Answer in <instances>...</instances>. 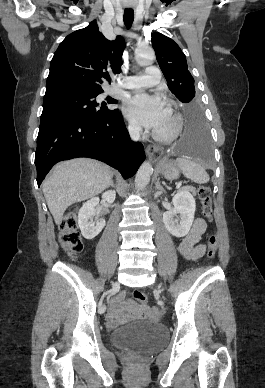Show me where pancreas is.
Segmentation results:
<instances>
[{
    "instance_id": "pancreas-1",
    "label": "pancreas",
    "mask_w": 265,
    "mask_h": 388,
    "mask_svg": "<svg viewBox=\"0 0 265 388\" xmlns=\"http://www.w3.org/2000/svg\"><path fill=\"white\" fill-rule=\"evenodd\" d=\"M181 190H188V192H193V194H195V188H191V186H189V188H181Z\"/></svg>"
}]
</instances>
